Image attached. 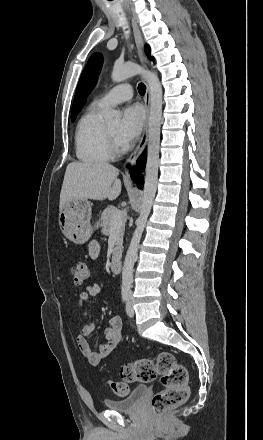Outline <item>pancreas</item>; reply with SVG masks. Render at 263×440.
I'll use <instances>...</instances> for the list:
<instances>
[{"instance_id": "obj_1", "label": "pancreas", "mask_w": 263, "mask_h": 440, "mask_svg": "<svg viewBox=\"0 0 263 440\" xmlns=\"http://www.w3.org/2000/svg\"><path fill=\"white\" fill-rule=\"evenodd\" d=\"M119 211L116 207L114 206H108L103 213L101 214V224L100 226L102 227V233L104 235H109L110 231H111V224L113 222V218L115 213ZM124 230H125V221L123 220L122 223L119 226V233H118V239L115 242V248L113 251V257L112 260L116 259L117 257L120 256L121 251H122V243H123V235H124Z\"/></svg>"}]
</instances>
